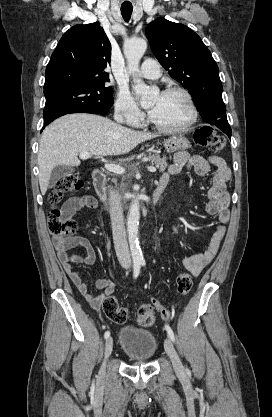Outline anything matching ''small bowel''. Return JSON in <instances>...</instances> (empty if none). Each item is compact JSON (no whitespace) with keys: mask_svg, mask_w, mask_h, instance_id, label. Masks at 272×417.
<instances>
[{"mask_svg":"<svg viewBox=\"0 0 272 417\" xmlns=\"http://www.w3.org/2000/svg\"><path fill=\"white\" fill-rule=\"evenodd\" d=\"M212 166L216 167V171L212 174V184L208 191L206 212L211 216H216L218 222L206 250L202 253L188 256L183 260L184 268L193 276L201 274L214 260L226 234V225L230 220V211L228 209L229 194L226 191V184L230 179V170L221 157H203L190 155L187 152H179L175 154L173 162L160 179V181L168 182L170 175H178L183 168L193 170L197 175L204 177L208 175ZM97 206L98 202L94 196L80 194L67 199L61 206V213L63 218L70 219L82 208L95 209ZM55 242L58 245L61 244V241L58 239H55ZM72 247H82L86 252L85 256L70 255L67 249ZM58 258L72 283L92 308L99 309L104 300L114 293L115 281L111 279H97L95 287L102 291L100 294H97L89 288L82 275L74 268V263L93 264L95 262V250L87 238L76 236L67 240L64 246L60 248Z\"/></svg>","mask_w":272,"mask_h":417,"instance_id":"obj_1","label":"small bowel"}]
</instances>
